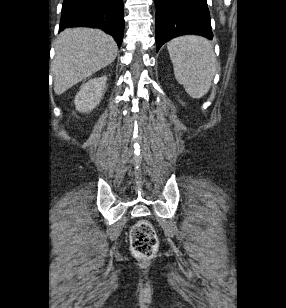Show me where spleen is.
I'll return each mask as SVG.
<instances>
[{
    "label": "spleen",
    "mask_w": 286,
    "mask_h": 308,
    "mask_svg": "<svg viewBox=\"0 0 286 308\" xmlns=\"http://www.w3.org/2000/svg\"><path fill=\"white\" fill-rule=\"evenodd\" d=\"M167 49L175 79L186 93L195 99L207 94L216 73V56L211 43L201 36L185 35L169 41Z\"/></svg>",
    "instance_id": "3e777b00"
}]
</instances>
